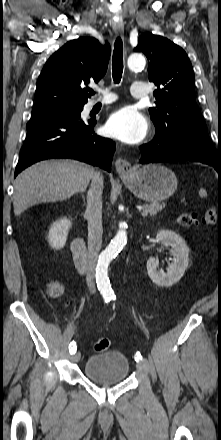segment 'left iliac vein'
Segmentation results:
<instances>
[{"instance_id": "left-iliac-vein-1", "label": "left iliac vein", "mask_w": 221, "mask_h": 440, "mask_svg": "<svg viewBox=\"0 0 221 440\" xmlns=\"http://www.w3.org/2000/svg\"><path fill=\"white\" fill-rule=\"evenodd\" d=\"M137 368L139 371H141L142 373H147L148 372V366L147 363L145 361H139L136 364Z\"/></svg>"}]
</instances>
